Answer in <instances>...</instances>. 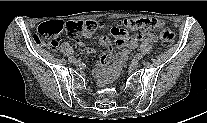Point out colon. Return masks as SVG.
<instances>
[{"instance_id":"colon-1","label":"colon","mask_w":207,"mask_h":123,"mask_svg":"<svg viewBox=\"0 0 207 123\" xmlns=\"http://www.w3.org/2000/svg\"><path fill=\"white\" fill-rule=\"evenodd\" d=\"M121 25L127 29H153L161 40L164 48H169L174 43V34L161 21L151 18H129L120 21ZM105 26L104 22L97 20L69 21L64 26L60 21L45 22L38 26L32 34L35 43L46 44L51 49H57L59 45V34L65 30L70 39H77L82 36H90ZM126 57L118 58L110 79H114L119 67L124 63Z\"/></svg>"}]
</instances>
